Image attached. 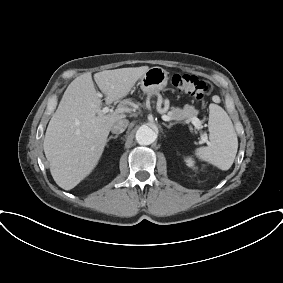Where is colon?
I'll return each instance as SVG.
<instances>
[{
	"mask_svg": "<svg viewBox=\"0 0 283 283\" xmlns=\"http://www.w3.org/2000/svg\"><path fill=\"white\" fill-rule=\"evenodd\" d=\"M171 83L178 91L189 94L196 100H203L208 94L207 84L194 75L174 74Z\"/></svg>",
	"mask_w": 283,
	"mask_h": 283,
	"instance_id": "1",
	"label": "colon"
}]
</instances>
